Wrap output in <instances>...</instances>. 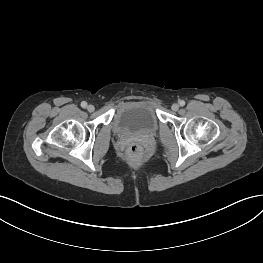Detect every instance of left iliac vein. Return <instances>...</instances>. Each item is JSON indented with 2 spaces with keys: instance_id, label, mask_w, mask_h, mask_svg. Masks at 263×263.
I'll return each mask as SVG.
<instances>
[{
  "instance_id": "1",
  "label": "left iliac vein",
  "mask_w": 263,
  "mask_h": 263,
  "mask_svg": "<svg viewBox=\"0 0 263 263\" xmlns=\"http://www.w3.org/2000/svg\"><path fill=\"white\" fill-rule=\"evenodd\" d=\"M171 109H172L173 111H178L179 105H178L177 103H174V104L171 106Z\"/></svg>"
}]
</instances>
